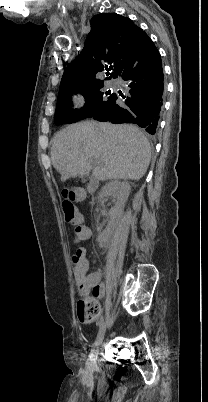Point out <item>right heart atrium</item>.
<instances>
[{"mask_svg": "<svg viewBox=\"0 0 208 402\" xmlns=\"http://www.w3.org/2000/svg\"><path fill=\"white\" fill-rule=\"evenodd\" d=\"M87 98V93L81 90L72 96V102L75 107H81L84 105Z\"/></svg>", "mask_w": 208, "mask_h": 402, "instance_id": "right-heart-atrium-1", "label": "right heart atrium"}]
</instances>
